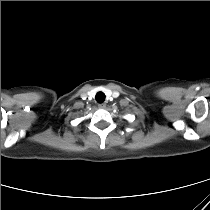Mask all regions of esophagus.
Here are the masks:
<instances>
[{"mask_svg": "<svg viewBox=\"0 0 210 210\" xmlns=\"http://www.w3.org/2000/svg\"><path fill=\"white\" fill-rule=\"evenodd\" d=\"M98 107L101 108V109H104V108H106V104L105 103H101V104L98 105Z\"/></svg>", "mask_w": 210, "mask_h": 210, "instance_id": "obj_1", "label": "esophagus"}]
</instances>
